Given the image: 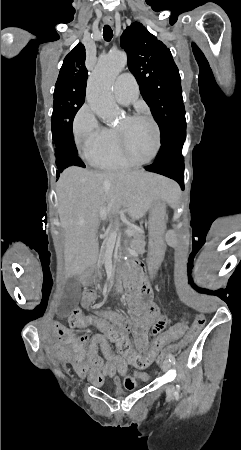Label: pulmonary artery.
Instances as JSON below:
<instances>
[{
    "label": "pulmonary artery",
    "mask_w": 241,
    "mask_h": 450,
    "mask_svg": "<svg viewBox=\"0 0 241 450\" xmlns=\"http://www.w3.org/2000/svg\"><path fill=\"white\" fill-rule=\"evenodd\" d=\"M136 95L133 78L128 73H123L119 76L114 86V97L121 105H129L132 103Z\"/></svg>",
    "instance_id": "e3ab8cb5"
}]
</instances>
